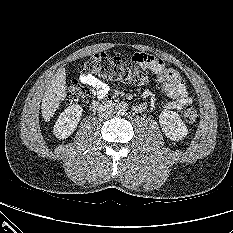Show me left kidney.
I'll use <instances>...</instances> for the list:
<instances>
[{
  "label": "left kidney",
  "instance_id": "left-kidney-1",
  "mask_svg": "<svg viewBox=\"0 0 233 233\" xmlns=\"http://www.w3.org/2000/svg\"><path fill=\"white\" fill-rule=\"evenodd\" d=\"M159 123L164 134L172 141H178L188 134V129L178 113L165 110L159 115Z\"/></svg>",
  "mask_w": 233,
  "mask_h": 233
}]
</instances>
